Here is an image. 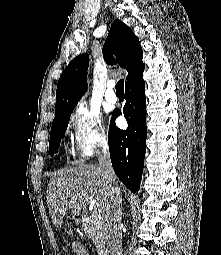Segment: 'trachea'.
Returning <instances> with one entry per match:
<instances>
[{
	"label": "trachea",
	"mask_w": 221,
	"mask_h": 255,
	"mask_svg": "<svg viewBox=\"0 0 221 255\" xmlns=\"http://www.w3.org/2000/svg\"><path fill=\"white\" fill-rule=\"evenodd\" d=\"M115 88H116V93L124 94V80L123 79L119 80Z\"/></svg>",
	"instance_id": "1"
}]
</instances>
